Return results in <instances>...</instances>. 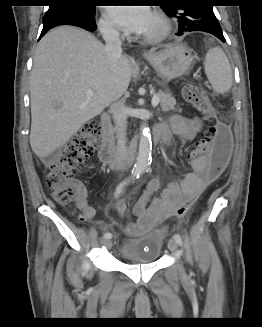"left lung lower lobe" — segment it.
Listing matches in <instances>:
<instances>
[{
	"label": "left lung lower lobe",
	"mask_w": 262,
	"mask_h": 327,
	"mask_svg": "<svg viewBox=\"0 0 262 327\" xmlns=\"http://www.w3.org/2000/svg\"><path fill=\"white\" fill-rule=\"evenodd\" d=\"M180 35V34H179ZM217 38H219L222 42H225V38L223 37V35H215Z\"/></svg>",
	"instance_id": "0a47b994"
}]
</instances>
